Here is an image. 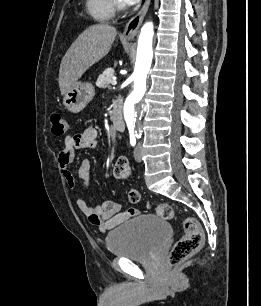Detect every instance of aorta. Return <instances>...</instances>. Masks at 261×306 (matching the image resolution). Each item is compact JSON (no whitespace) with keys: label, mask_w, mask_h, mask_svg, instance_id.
I'll use <instances>...</instances> for the list:
<instances>
[{"label":"aorta","mask_w":261,"mask_h":306,"mask_svg":"<svg viewBox=\"0 0 261 306\" xmlns=\"http://www.w3.org/2000/svg\"><path fill=\"white\" fill-rule=\"evenodd\" d=\"M153 35V23H145L141 29L138 39L137 57L133 73L134 89L127 97L124 104V118L129 124H135L139 117L140 102L146 91V78L150 70L153 57Z\"/></svg>","instance_id":"762f6f07"}]
</instances>
